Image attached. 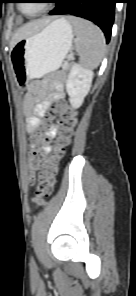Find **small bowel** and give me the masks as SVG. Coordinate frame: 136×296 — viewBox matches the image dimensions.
Here are the masks:
<instances>
[{
	"instance_id": "1",
	"label": "small bowel",
	"mask_w": 136,
	"mask_h": 296,
	"mask_svg": "<svg viewBox=\"0 0 136 296\" xmlns=\"http://www.w3.org/2000/svg\"><path fill=\"white\" fill-rule=\"evenodd\" d=\"M38 85L34 83L31 87L32 92L26 96L25 113H26V130L30 136H34L39 132L42 126V117L45 109L51 102L61 101L65 97L64 86L55 84L52 86L50 93L45 98H38ZM58 131L57 124L53 123L49 126L47 136L53 138ZM34 147V144H31ZM45 152H49V147H44Z\"/></svg>"
}]
</instances>
